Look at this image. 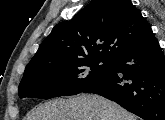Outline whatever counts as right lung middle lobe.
<instances>
[{
	"instance_id": "right-lung-middle-lobe-1",
	"label": "right lung middle lobe",
	"mask_w": 165,
	"mask_h": 120,
	"mask_svg": "<svg viewBox=\"0 0 165 120\" xmlns=\"http://www.w3.org/2000/svg\"><path fill=\"white\" fill-rule=\"evenodd\" d=\"M113 62L98 58L45 61L26 67L19 85V97L50 99L81 93L107 76Z\"/></svg>"
}]
</instances>
